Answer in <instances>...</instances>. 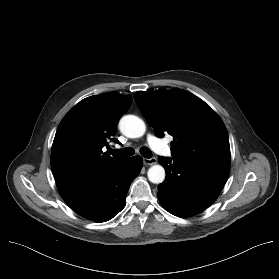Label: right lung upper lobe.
<instances>
[{"label": "right lung upper lobe", "mask_w": 279, "mask_h": 279, "mask_svg": "<svg viewBox=\"0 0 279 279\" xmlns=\"http://www.w3.org/2000/svg\"><path fill=\"white\" fill-rule=\"evenodd\" d=\"M131 101V95H94L81 100L64 116L51 152L58 189L96 177L126 160L111 157L102 148L115 135L118 120Z\"/></svg>", "instance_id": "right-lung-upper-lobe-1"}]
</instances>
